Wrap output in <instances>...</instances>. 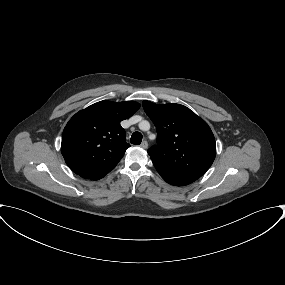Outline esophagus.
I'll return each mask as SVG.
<instances>
[{
  "label": "esophagus",
  "mask_w": 285,
  "mask_h": 285,
  "mask_svg": "<svg viewBox=\"0 0 285 285\" xmlns=\"http://www.w3.org/2000/svg\"><path fill=\"white\" fill-rule=\"evenodd\" d=\"M140 147H142L143 149H146V148L148 147L147 141H143V142L140 144Z\"/></svg>",
  "instance_id": "1"
}]
</instances>
